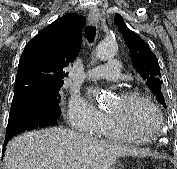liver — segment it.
Instances as JSON below:
<instances>
[{"instance_id": "1", "label": "liver", "mask_w": 177, "mask_h": 169, "mask_svg": "<svg viewBox=\"0 0 177 169\" xmlns=\"http://www.w3.org/2000/svg\"><path fill=\"white\" fill-rule=\"evenodd\" d=\"M142 153L64 128L26 132L12 139L3 169H109L121 156Z\"/></svg>"}]
</instances>
